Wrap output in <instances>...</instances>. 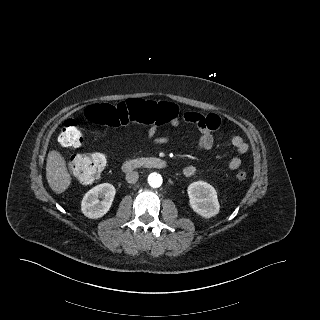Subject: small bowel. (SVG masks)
<instances>
[{"instance_id": "c3829d8e", "label": "small bowel", "mask_w": 320, "mask_h": 320, "mask_svg": "<svg viewBox=\"0 0 320 320\" xmlns=\"http://www.w3.org/2000/svg\"><path fill=\"white\" fill-rule=\"evenodd\" d=\"M177 114L171 119L170 123L174 126L178 125L181 121L196 124L201 132V136L198 142L200 149H210L214 144L213 130L221 125V120L217 116H205L197 112H179L176 108ZM157 127L151 125L147 129V137L154 143L158 144L165 142L166 137H156ZM232 146L237 153L242 156L248 152L249 146L240 136H234L231 140ZM242 164L240 157H233L228 162V168L231 170L238 169ZM197 169L194 165H188L184 167L183 174L186 177H192L195 175Z\"/></svg>"}]
</instances>
